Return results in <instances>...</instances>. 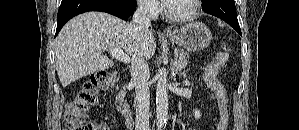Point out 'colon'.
Returning <instances> with one entry per match:
<instances>
[{"label":"colon","instance_id":"colon-1","mask_svg":"<svg viewBox=\"0 0 299 130\" xmlns=\"http://www.w3.org/2000/svg\"><path fill=\"white\" fill-rule=\"evenodd\" d=\"M228 58L226 52H219L208 67V76L214 78L227 63ZM117 79L118 75L115 72L106 70L90 75L75 98L66 105L64 114L66 130H105L103 126L89 118L88 111L97 103L99 92L112 88ZM213 87L220 103V119L216 130H226L229 120L226 91L216 80H213Z\"/></svg>","mask_w":299,"mask_h":130}]
</instances>
